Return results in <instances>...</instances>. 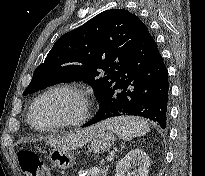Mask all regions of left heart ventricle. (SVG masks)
Wrapping results in <instances>:
<instances>
[{
	"label": "left heart ventricle",
	"instance_id": "left-heart-ventricle-1",
	"mask_svg": "<svg viewBox=\"0 0 205 176\" xmlns=\"http://www.w3.org/2000/svg\"><path fill=\"white\" fill-rule=\"evenodd\" d=\"M79 109V103L75 98L64 93H55L38 103L33 121L39 126H49L75 117Z\"/></svg>",
	"mask_w": 205,
	"mask_h": 176
}]
</instances>
